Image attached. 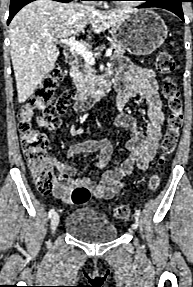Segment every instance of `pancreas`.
<instances>
[{"instance_id": "1", "label": "pancreas", "mask_w": 193, "mask_h": 287, "mask_svg": "<svg viewBox=\"0 0 193 287\" xmlns=\"http://www.w3.org/2000/svg\"><path fill=\"white\" fill-rule=\"evenodd\" d=\"M111 47L114 50L113 58L124 57L125 47L120 42H111ZM70 76L73 84L80 93H87L93 89L96 83V71L88 63L79 61L72 67Z\"/></svg>"}]
</instances>
